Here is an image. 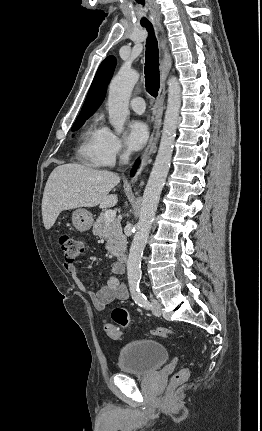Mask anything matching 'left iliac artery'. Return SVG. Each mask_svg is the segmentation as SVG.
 I'll list each match as a JSON object with an SVG mask.
<instances>
[{"mask_svg":"<svg viewBox=\"0 0 262 431\" xmlns=\"http://www.w3.org/2000/svg\"><path fill=\"white\" fill-rule=\"evenodd\" d=\"M139 283L140 281H132L129 283L132 298L139 306L150 309L151 305L147 300V297L141 292Z\"/></svg>","mask_w":262,"mask_h":431,"instance_id":"44dca946","label":"left iliac artery"}]
</instances>
